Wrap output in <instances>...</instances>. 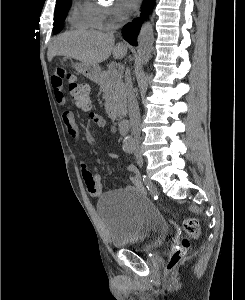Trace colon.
Segmentation results:
<instances>
[{"label": "colon", "instance_id": "1", "mask_svg": "<svg viewBox=\"0 0 245 300\" xmlns=\"http://www.w3.org/2000/svg\"><path fill=\"white\" fill-rule=\"evenodd\" d=\"M54 73L62 80L67 81L71 97L77 108L84 112L89 111L92 102L88 85L81 82L75 74L68 72L63 68H56ZM183 228L188 238L183 240L182 246L171 256L167 265L169 271L173 270L185 256L189 246V238H195L200 234V224L195 218L185 219L183 221Z\"/></svg>", "mask_w": 245, "mask_h": 300}]
</instances>
